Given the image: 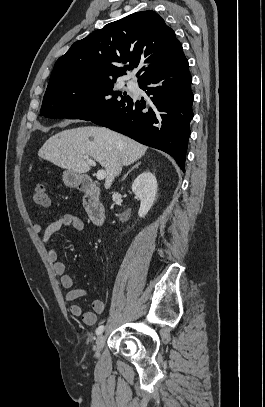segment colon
Returning <instances> with one entry per match:
<instances>
[{
	"mask_svg": "<svg viewBox=\"0 0 265 407\" xmlns=\"http://www.w3.org/2000/svg\"><path fill=\"white\" fill-rule=\"evenodd\" d=\"M32 201L38 206H47L49 204V196L46 185L40 183L34 187Z\"/></svg>",
	"mask_w": 265,
	"mask_h": 407,
	"instance_id": "5ec220e1",
	"label": "colon"
}]
</instances>
